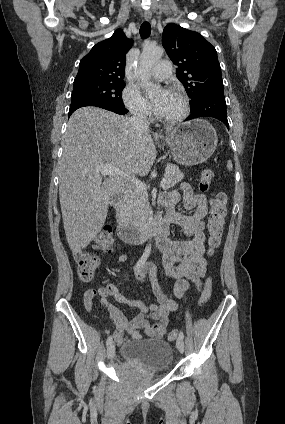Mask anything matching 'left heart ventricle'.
<instances>
[{
    "mask_svg": "<svg viewBox=\"0 0 285 424\" xmlns=\"http://www.w3.org/2000/svg\"><path fill=\"white\" fill-rule=\"evenodd\" d=\"M183 111L182 99L171 93L169 99L164 104L163 108L158 112L164 118H173L181 114Z\"/></svg>",
    "mask_w": 285,
    "mask_h": 424,
    "instance_id": "1",
    "label": "left heart ventricle"
}]
</instances>
